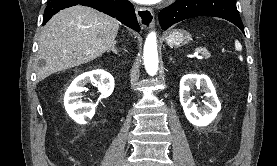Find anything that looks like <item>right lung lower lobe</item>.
Masks as SVG:
<instances>
[{"label": "right lung lower lobe", "mask_w": 277, "mask_h": 166, "mask_svg": "<svg viewBox=\"0 0 277 166\" xmlns=\"http://www.w3.org/2000/svg\"><path fill=\"white\" fill-rule=\"evenodd\" d=\"M77 4L90 6L140 31L134 7L128 0H49L43 16V25L60 10Z\"/></svg>", "instance_id": "right-lung-lower-lobe-1"}]
</instances>
